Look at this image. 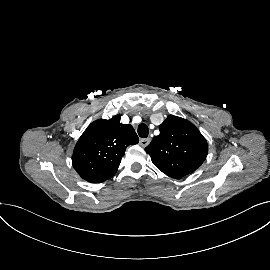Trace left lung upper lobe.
<instances>
[{
    "label": "left lung upper lobe",
    "instance_id": "obj_1",
    "mask_svg": "<svg viewBox=\"0 0 270 270\" xmlns=\"http://www.w3.org/2000/svg\"><path fill=\"white\" fill-rule=\"evenodd\" d=\"M159 130L160 134L145 148L159 170L180 179L201 166L207 157L208 144L192 123L169 115Z\"/></svg>",
    "mask_w": 270,
    "mask_h": 270
}]
</instances>
